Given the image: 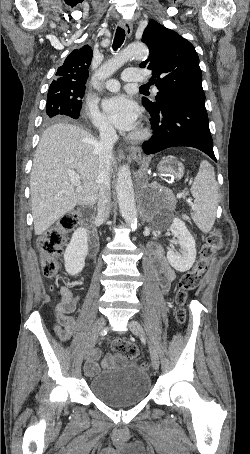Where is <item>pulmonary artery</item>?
I'll use <instances>...</instances> for the list:
<instances>
[{
    "mask_svg": "<svg viewBox=\"0 0 250 454\" xmlns=\"http://www.w3.org/2000/svg\"><path fill=\"white\" fill-rule=\"evenodd\" d=\"M122 81L125 82V83H130V82L146 83L147 79L141 73V71H139L138 69L129 68V69H127V70H125L123 72ZM120 86H121V82L119 80H116V79H109L105 83V87L109 91H117V90L120 89ZM154 90L156 91V88H154Z\"/></svg>",
    "mask_w": 250,
    "mask_h": 454,
    "instance_id": "pulmonary-artery-1",
    "label": "pulmonary artery"
}]
</instances>
